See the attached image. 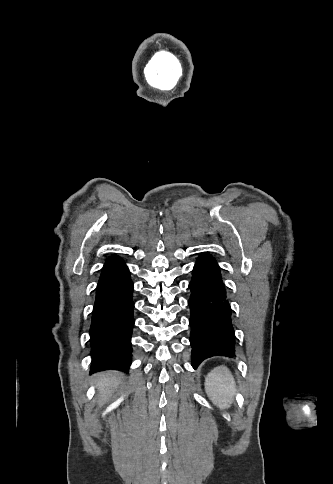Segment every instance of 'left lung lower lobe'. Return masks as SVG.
Returning a JSON list of instances; mask_svg holds the SVG:
<instances>
[{"mask_svg":"<svg viewBox=\"0 0 333 484\" xmlns=\"http://www.w3.org/2000/svg\"><path fill=\"white\" fill-rule=\"evenodd\" d=\"M189 288L192 366L196 368L212 356H235L231 308L219 266L211 255L199 256Z\"/></svg>","mask_w":333,"mask_h":484,"instance_id":"left-lung-lower-lobe-1","label":"left lung lower lobe"}]
</instances>
